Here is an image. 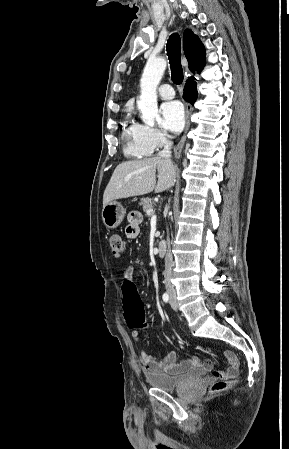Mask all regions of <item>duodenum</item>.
Returning a JSON list of instances; mask_svg holds the SVG:
<instances>
[{"instance_id":"410a0bca","label":"duodenum","mask_w":289,"mask_h":449,"mask_svg":"<svg viewBox=\"0 0 289 449\" xmlns=\"http://www.w3.org/2000/svg\"><path fill=\"white\" fill-rule=\"evenodd\" d=\"M167 243L164 240H159L157 243V251L160 257H164L166 255Z\"/></svg>"}]
</instances>
